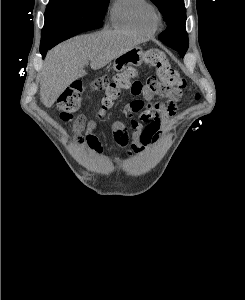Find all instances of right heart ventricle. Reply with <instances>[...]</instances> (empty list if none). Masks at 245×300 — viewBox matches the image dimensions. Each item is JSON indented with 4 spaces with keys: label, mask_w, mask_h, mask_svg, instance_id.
<instances>
[{
    "label": "right heart ventricle",
    "mask_w": 245,
    "mask_h": 300,
    "mask_svg": "<svg viewBox=\"0 0 245 300\" xmlns=\"http://www.w3.org/2000/svg\"><path fill=\"white\" fill-rule=\"evenodd\" d=\"M113 28L142 35L155 33L156 12L148 0H115L110 12Z\"/></svg>",
    "instance_id": "right-heart-ventricle-1"
}]
</instances>
